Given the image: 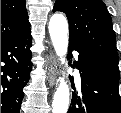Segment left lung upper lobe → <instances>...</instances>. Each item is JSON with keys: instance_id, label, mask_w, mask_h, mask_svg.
Here are the masks:
<instances>
[{"instance_id": "obj_1", "label": "left lung upper lobe", "mask_w": 121, "mask_h": 113, "mask_svg": "<svg viewBox=\"0 0 121 113\" xmlns=\"http://www.w3.org/2000/svg\"><path fill=\"white\" fill-rule=\"evenodd\" d=\"M53 11L69 21V41L119 77L118 54L112 19L102 0H56Z\"/></svg>"}]
</instances>
